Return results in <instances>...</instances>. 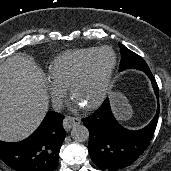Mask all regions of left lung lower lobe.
Returning <instances> with one entry per match:
<instances>
[{
	"label": "left lung lower lobe",
	"instance_id": "obj_1",
	"mask_svg": "<svg viewBox=\"0 0 171 171\" xmlns=\"http://www.w3.org/2000/svg\"><path fill=\"white\" fill-rule=\"evenodd\" d=\"M152 82L158 99V86L151 71L146 73ZM157 112L143 129L132 131L122 127L114 118L109 99L91 116L83 118L89 129V154L96 166L107 171H116L132 164L149 144L157 126Z\"/></svg>",
	"mask_w": 171,
	"mask_h": 171
}]
</instances>
